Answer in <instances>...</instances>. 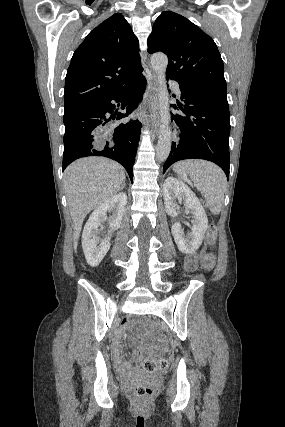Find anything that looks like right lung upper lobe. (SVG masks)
<instances>
[{
  "instance_id": "1",
  "label": "right lung upper lobe",
  "mask_w": 285,
  "mask_h": 427,
  "mask_svg": "<svg viewBox=\"0 0 285 427\" xmlns=\"http://www.w3.org/2000/svg\"><path fill=\"white\" fill-rule=\"evenodd\" d=\"M139 43L120 13L93 29L74 52L67 70L64 108L121 91L143 70Z\"/></svg>"
}]
</instances>
